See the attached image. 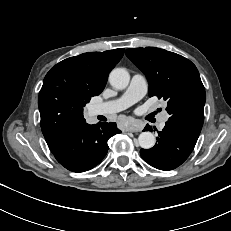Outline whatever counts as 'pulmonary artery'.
Listing matches in <instances>:
<instances>
[{"mask_svg":"<svg viewBox=\"0 0 231 231\" xmlns=\"http://www.w3.org/2000/svg\"><path fill=\"white\" fill-rule=\"evenodd\" d=\"M146 92L147 84L145 78L140 74H134L127 90L123 93L122 96L115 100L92 106L90 108V114L96 116L109 115L120 112L142 99ZM168 119V113L164 112L159 121V129H163L165 127Z\"/></svg>","mask_w":231,"mask_h":231,"instance_id":"e3ab8cb5","label":"pulmonary artery"}]
</instances>
